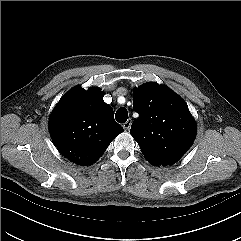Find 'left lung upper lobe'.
<instances>
[{
    "mask_svg": "<svg viewBox=\"0 0 241 241\" xmlns=\"http://www.w3.org/2000/svg\"><path fill=\"white\" fill-rule=\"evenodd\" d=\"M133 108L139 117L130 133L152 165H173L192 145L194 119L186 103L157 83H146L133 92Z\"/></svg>",
    "mask_w": 241,
    "mask_h": 241,
    "instance_id": "obj_1",
    "label": "left lung upper lobe"
}]
</instances>
